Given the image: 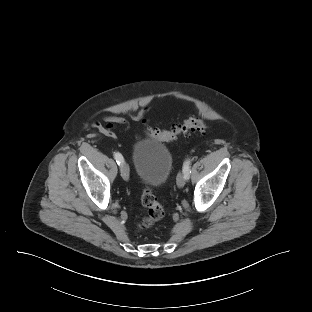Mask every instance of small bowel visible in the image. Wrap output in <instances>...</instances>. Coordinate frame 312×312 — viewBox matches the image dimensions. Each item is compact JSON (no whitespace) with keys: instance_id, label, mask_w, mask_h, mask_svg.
I'll use <instances>...</instances> for the list:
<instances>
[{"instance_id":"1","label":"small bowel","mask_w":312,"mask_h":312,"mask_svg":"<svg viewBox=\"0 0 312 312\" xmlns=\"http://www.w3.org/2000/svg\"><path fill=\"white\" fill-rule=\"evenodd\" d=\"M147 108L138 112V113H130L128 114L129 118L133 121H140L144 118ZM123 126L124 129L128 128V122L125 118L116 115H107L103 118V122L95 121L93 123V127L102 135L115 139L117 137L116 126Z\"/></svg>"}]
</instances>
